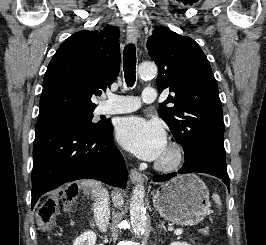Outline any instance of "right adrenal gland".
I'll list each match as a JSON object with an SVG mask.
<instances>
[{
	"mask_svg": "<svg viewBox=\"0 0 266 245\" xmlns=\"http://www.w3.org/2000/svg\"><path fill=\"white\" fill-rule=\"evenodd\" d=\"M91 227H95V225H94V221H93V223H92Z\"/></svg>",
	"mask_w": 266,
	"mask_h": 245,
	"instance_id": "1",
	"label": "right adrenal gland"
}]
</instances>
